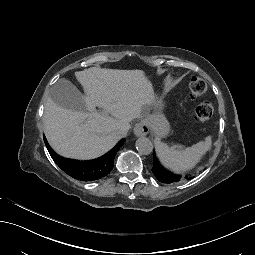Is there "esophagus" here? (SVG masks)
<instances>
[{
	"instance_id": "1",
	"label": "esophagus",
	"mask_w": 255,
	"mask_h": 255,
	"mask_svg": "<svg viewBox=\"0 0 255 255\" xmlns=\"http://www.w3.org/2000/svg\"><path fill=\"white\" fill-rule=\"evenodd\" d=\"M149 133V126L147 121L142 120L141 122L137 123L134 127V134L138 137L146 136Z\"/></svg>"
}]
</instances>
